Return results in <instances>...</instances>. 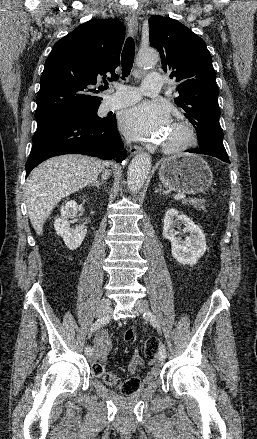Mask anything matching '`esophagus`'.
Instances as JSON below:
<instances>
[{"mask_svg": "<svg viewBox=\"0 0 257 439\" xmlns=\"http://www.w3.org/2000/svg\"><path fill=\"white\" fill-rule=\"evenodd\" d=\"M127 21L131 35L136 36L138 29V19H137V14L134 10L132 9L128 10ZM129 152L131 155H135L137 153L142 152V148L140 146H131L129 148Z\"/></svg>", "mask_w": 257, "mask_h": 439, "instance_id": "obj_1", "label": "esophagus"}]
</instances>
